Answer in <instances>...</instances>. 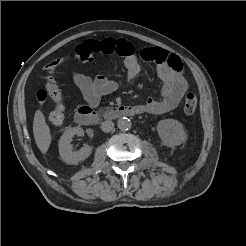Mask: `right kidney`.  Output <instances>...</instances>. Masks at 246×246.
Wrapping results in <instances>:
<instances>
[{
	"label": "right kidney",
	"mask_w": 246,
	"mask_h": 246,
	"mask_svg": "<svg viewBox=\"0 0 246 246\" xmlns=\"http://www.w3.org/2000/svg\"><path fill=\"white\" fill-rule=\"evenodd\" d=\"M84 131L80 127H73L67 129L64 134L61 136L58 143L59 153L63 161L67 164H78L81 161H84L92 153V147L89 145H84L79 150L74 151L71 141L72 138L77 136H82Z\"/></svg>",
	"instance_id": "1"
}]
</instances>
